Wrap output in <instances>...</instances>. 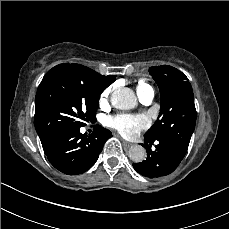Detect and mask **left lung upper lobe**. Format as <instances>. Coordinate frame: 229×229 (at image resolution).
<instances>
[{
	"label": "left lung upper lobe",
	"instance_id": "1",
	"mask_svg": "<svg viewBox=\"0 0 229 229\" xmlns=\"http://www.w3.org/2000/svg\"><path fill=\"white\" fill-rule=\"evenodd\" d=\"M149 72L160 89L161 103L159 117L144 137L168 141L187 152L196 123L191 84L172 66L151 67Z\"/></svg>",
	"mask_w": 229,
	"mask_h": 229
}]
</instances>
